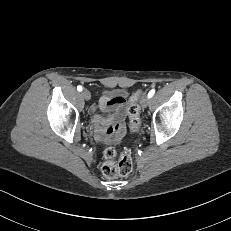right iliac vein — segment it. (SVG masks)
Segmentation results:
<instances>
[{"instance_id": "obj_1", "label": "right iliac vein", "mask_w": 231, "mask_h": 231, "mask_svg": "<svg viewBox=\"0 0 231 231\" xmlns=\"http://www.w3.org/2000/svg\"><path fill=\"white\" fill-rule=\"evenodd\" d=\"M81 95L82 97L85 99V100H90L91 98V94L88 90L84 89L82 92H81Z\"/></svg>"}]
</instances>
